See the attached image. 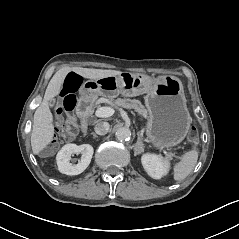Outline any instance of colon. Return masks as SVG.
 <instances>
[{
    "label": "colon",
    "mask_w": 239,
    "mask_h": 239,
    "mask_svg": "<svg viewBox=\"0 0 239 239\" xmlns=\"http://www.w3.org/2000/svg\"><path fill=\"white\" fill-rule=\"evenodd\" d=\"M82 83V78L70 73L64 80L62 88L63 102L57 110V129L55 140L63 142L73 138L78 131L74 110L76 108V91ZM187 139L191 144H196L198 141V133L194 127H191L187 134Z\"/></svg>",
    "instance_id": "1"
}]
</instances>
